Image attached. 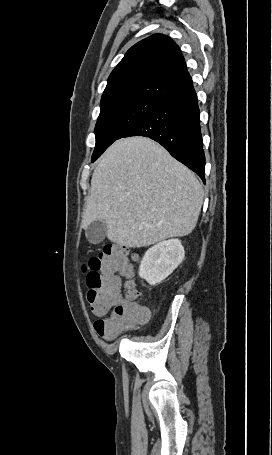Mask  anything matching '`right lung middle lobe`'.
<instances>
[{"label":"right lung middle lobe","mask_w":272,"mask_h":455,"mask_svg":"<svg viewBox=\"0 0 272 455\" xmlns=\"http://www.w3.org/2000/svg\"><path fill=\"white\" fill-rule=\"evenodd\" d=\"M164 101L149 97H132L101 105L95 136L94 162L128 128L156 110Z\"/></svg>","instance_id":"obj_1"}]
</instances>
